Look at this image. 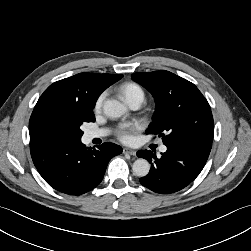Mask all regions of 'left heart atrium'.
<instances>
[{
    "mask_svg": "<svg viewBox=\"0 0 251 251\" xmlns=\"http://www.w3.org/2000/svg\"><path fill=\"white\" fill-rule=\"evenodd\" d=\"M135 129V126L121 125L117 129V135L122 141L129 142L132 140V132Z\"/></svg>",
    "mask_w": 251,
    "mask_h": 251,
    "instance_id": "1",
    "label": "left heart atrium"
}]
</instances>
